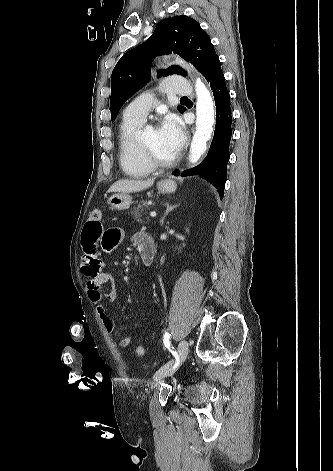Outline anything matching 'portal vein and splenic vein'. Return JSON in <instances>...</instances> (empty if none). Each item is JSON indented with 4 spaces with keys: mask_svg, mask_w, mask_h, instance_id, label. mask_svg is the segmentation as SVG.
<instances>
[{
    "mask_svg": "<svg viewBox=\"0 0 333 471\" xmlns=\"http://www.w3.org/2000/svg\"><path fill=\"white\" fill-rule=\"evenodd\" d=\"M150 216L153 217V218L156 217V212H154V211L150 212Z\"/></svg>",
    "mask_w": 333,
    "mask_h": 471,
    "instance_id": "1",
    "label": "portal vein and splenic vein"
}]
</instances>
